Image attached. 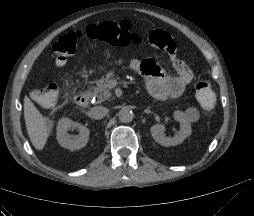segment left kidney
<instances>
[{"label":"left kidney","mask_w":254,"mask_h":216,"mask_svg":"<svg viewBox=\"0 0 254 216\" xmlns=\"http://www.w3.org/2000/svg\"><path fill=\"white\" fill-rule=\"evenodd\" d=\"M173 118L179 122L180 131L174 137H167L164 134L165 127L163 124H155L150 128L153 139L163 146H176L181 144L188 136L191 135V124L186 119L185 114L181 111H175Z\"/></svg>","instance_id":"left-kidney-1"}]
</instances>
